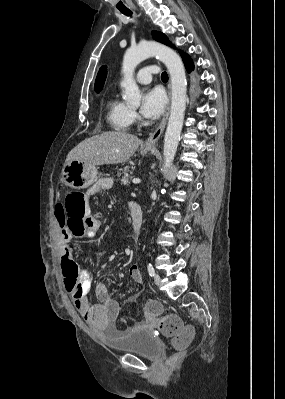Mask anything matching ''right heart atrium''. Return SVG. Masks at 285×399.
<instances>
[{
  "instance_id": "1",
  "label": "right heart atrium",
  "mask_w": 285,
  "mask_h": 399,
  "mask_svg": "<svg viewBox=\"0 0 285 399\" xmlns=\"http://www.w3.org/2000/svg\"><path fill=\"white\" fill-rule=\"evenodd\" d=\"M137 119V113L134 110H131V122H134Z\"/></svg>"
}]
</instances>
